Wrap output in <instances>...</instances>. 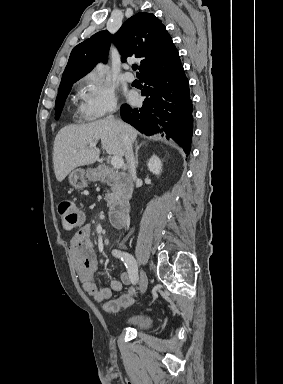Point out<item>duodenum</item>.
Returning <instances> with one entry per match:
<instances>
[{
	"label": "duodenum",
	"instance_id": "410a0bca",
	"mask_svg": "<svg viewBox=\"0 0 283 384\" xmlns=\"http://www.w3.org/2000/svg\"><path fill=\"white\" fill-rule=\"evenodd\" d=\"M94 174L98 181H108L121 187L122 202L113 209L109 218L115 228H123L131 208L130 200L133 188L131 176L126 172H115L108 166H98Z\"/></svg>",
	"mask_w": 283,
	"mask_h": 384
}]
</instances>
